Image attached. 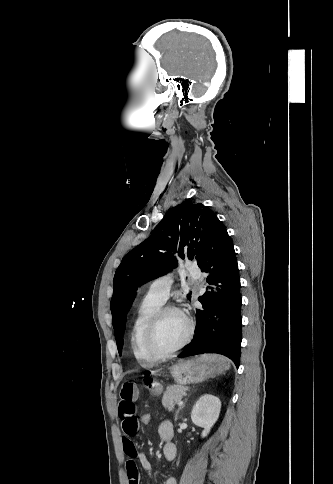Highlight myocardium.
Segmentation results:
<instances>
[{
    "mask_svg": "<svg viewBox=\"0 0 333 484\" xmlns=\"http://www.w3.org/2000/svg\"><path fill=\"white\" fill-rule=\"evenodd\" d=\"M170 312L181 313L187 321L188 330H187V334H186L185 338L183 339V341L178 346H176L175 348H173L172 350H169V351H161L156 347L155 336H156L157 328L159 326L160 321L162 320V318L166 314H168ZM193 333H194V323L188 316H186L180 309H178L174 306H163V307H160L153 314V316L151 317V319L149 320V322L147 324L145 334H144V347H145L146 352L151 357H153L157 360L167 359V358L174 356L180 350H182L191 341Z\"/></svg>",
    "mask_w": 333,
    "mask_h": 484,
    "instance_id": "myocardium-1",
    "label": "myocardium"
}]
</instances>
